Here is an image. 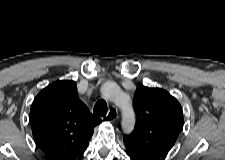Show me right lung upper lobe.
<instances>
[{"mask_svg":"<svg viewBox=\"0 0 225 160\" xmlns=\"http://www.w3.org/2000/svg\"><path fill=\"white\" fill-rule=\"evenodd\" d=\"M34 139L52 160H79L101 119L78 98L74 81H57L44 88L30 110Z\"/></svg>","mask_w":225,"mask_h":160,"instance_id":"cb5924a9","label":"right lung upper lobe"}]
</instances>
